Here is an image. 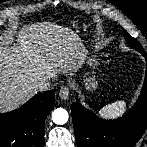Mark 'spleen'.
Listing matches in <instances>:
<instances>
[{"mask_svg":"<svg viewBox=\"0 0 147 147\" xmlns=\"http://www.w3.org/2000/svg\"><path fill=\"white\" fill-rule=\"evenodd\" d=\"M125 110L124 101H116L114 103L108 104L101 109V113L108 117H116L121 115Z\"/></svg>","mask_w":147,"mask_h":147,"instance_id":"1","label":"spleen"}]
</instances>
